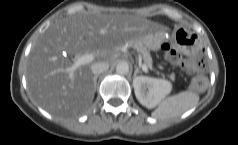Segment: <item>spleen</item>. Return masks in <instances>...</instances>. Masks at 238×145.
Segmentation results:
<instances>
[{
  "label": "spleen",
  "mask_w": 238,
  "mask_h": 145,
  "mask_svg": "<svg viewBox=\"0 0 238 145\" xmlns=\"http://www.w3.org/2000/svg\"><path fill=\"white\" fill-rule=\"evenodd\" d=\"M198 102L199 95L197 93L183 91L162 99L152 112V116L160 120L175 118L195 107Z\"/></svg>",
  "instance_id": "1"
}]
</instances>
